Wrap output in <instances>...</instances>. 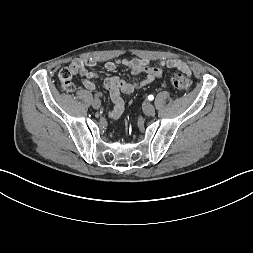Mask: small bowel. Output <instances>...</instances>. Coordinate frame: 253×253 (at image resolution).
<instances>
[{
	"label": "small bowel",
	"instance_id": "small-bowel-1",
	"mask_svg": "<svg viewBox=\"0 0 253 253\" xmlns=\"http://www.w3.org/2000/svg\"><path fill=\"white\" fill-rule=\"evenodd\" d=\"M96 65L94 59H82L78 58L71 62L70 68L76 73L84 77L83 85L88 90L95 88L93 79L98 75L94 72L88 71L87 68ZM123 66L128 68L133 75L144 74V79L140 81L128 82L117 76L102 78V85L109 91L111 100L113 102V109L108 113L111 119L119 118L124 111V100L122 94L131 95L137 89L146 86L160 79L163 75L165 68H174L183 72H188V65L179 59H166L160 60L156 65H151L147 59H118L108 61L104 67L107 71H114L117 67Z\"/></svg>",
	"mask_w": 253,
	"mask_h": 253
}]
</instances>
